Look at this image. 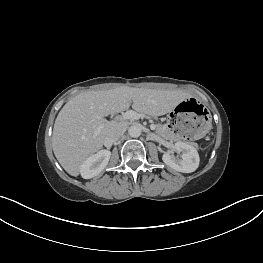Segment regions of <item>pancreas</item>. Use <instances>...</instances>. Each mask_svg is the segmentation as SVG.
<instances>
[{"mask_svg": "<svg viewBox=\"0 0 263 263\" xmlns=\"http://www.w3.org/2000/svg\"><path fill=\"white\" fill-rule=\"evenodd\" d=\"M155 133L158 136L163 137L165 139L170 140V139L174 138L173 132L171 131V129L167 125L157 124L156 129H155ZM191 145L198 147V145L194 142H191Z\"/></svg>", "mask_w": 263, "mask_h": 263, "instance_id": "obj_1", "label": "pancreas"}]
</instances>
